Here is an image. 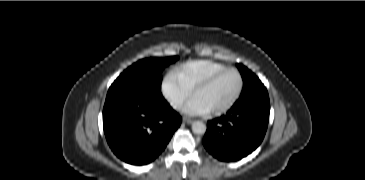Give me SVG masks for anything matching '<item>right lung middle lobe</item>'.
Segmentation results:
<instances>
[{"label":"right lung middle lobe","instance_id":"dd1d6c3e","mask_svg":"<svg viewBox=\"0 0 365 180\" xmlns=\"http://www.w3.org/2000/svg\"><path fill=\"white\" fill-rule=\"evenodd\" d=\"M176 60H178V56L143 59L134 63L114 81L108 90L107 97L133 89L161 91V73L167 65Z\"/></svg>","mask_w":365,"mask_h":180}]
</instances>
